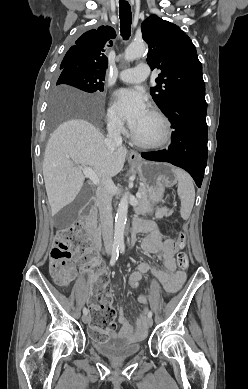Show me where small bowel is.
<instances>
[{"label": "small bowel", "mask_w": 248, "mask_h": 389, "mask_svg": "<svg viewBox=\"0 0 248 389\" xmlns=\"http://www.w3.org/2000/svg\"><path fill=\"white\" fill-rule=\"evenodd\" d=\"M135 228L137 231L147 233L142 241V249L147 253L156 255L162 261L163 268L156 269L147 263H140L138 269L129 275L128 282L132 277H139L141 280L145 274L149 273L167 292L174 293L178 291L185 281V275L180 271H176L174 254L181 245L172 240L162 241L160 231L154 222L137 223ZM109 298L111 299V296ZM137 300L142 305L148 303V300L144 301L142 298ZM87 302L92 305L89 300ZM118 321L121 325L120 330L118 332L110 330L107 332V336H118L130 341H139L147 333V308L139 313L135 326L131 324L123 308L119 311Z\"/></svg>", "instance_id": "small-bowel-1"}]
</instances>
